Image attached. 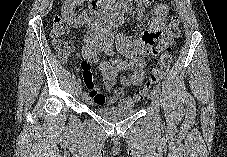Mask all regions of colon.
<instances>
[{"instance_id":"5ec220e1","label":"colon","mask_w":227,"mask_h":157,"mask_svg":"<svg viewBox=\"0 0 227 157\" xmlns=\"http://www.w3.org/2000/svg\"><path fill=\"white\" fill-rule=\"evenodd\" d=\"M68 34L69 28L67 25L60 17H56L52 24L51 37L56 55L62 61L68 60L73 52V45L71 41L67 39ZM179 35L180 21L177 16H173L166 26L164 34L160 40L158 50L161 53V56L156 70L152 74L150 80L144 86L139 88L134 95L125 97L121 100V107L129 108L136 102L142 101L147 97L151 86L158 83L166 76L170 68L173 43Z\"/></svg>"}]
</instances>
